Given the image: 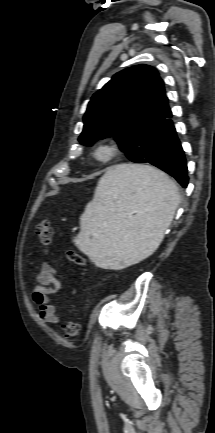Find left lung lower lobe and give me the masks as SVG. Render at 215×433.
Listing matches in <instances>:
<instances>
[{"instance_id": "left-lung-lower-lobe-1", "label": "left lung lower lobe", "mask_w": 215, "mask_h": 433, "mask_svg": "<svg viewBox=\"0 0 215 433\" xmlns=\"http://www.w3.org/2000/svg\"><path fill=\"white\" fill-rule=\"evenodd\" d=\"M154 166L174 177L184 188L187 187V163L173 124L166 133L158 160Z\"/></svg>"}]
</instances>
